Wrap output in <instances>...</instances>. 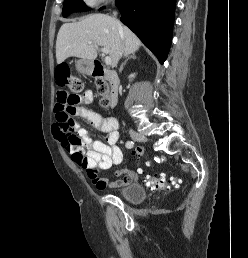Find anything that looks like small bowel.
Returning a JSON list of instances; mask_svg holds the SVG:
<instances>
[{
	"label": "small bowel",
	"mask_w": 248,
	"mask_h": 258,
	"mask_svg": "<svg viewBox=\"0 0 248 258\" xmlns=\"http://www.w3.org/2000/svg\"><path fill=\"white\" fill-rule=\"evenodd\" d=\"M64 93L65 92L60 91L58 98ZM77 104V106L73 107V114L85 119L100 132L104 133L105 141L93 140L80 123L73 122V128L80 137L79 140L73 142L62 133L60 125L56 123L54 132L65 152L75 164L83 166L85 169L94 167L105 171L114 165L121 164L123 161V153L117 145L119 139L117 120L113 117L105 118L89 108L94 104V96L91 90H85L80 95ZM88 148L94 151L87 152L86 149ZM115 175L118 179L114 181H107L98 176H91L90 180L93 181L99 190L122 188L136 180L135 173L126 167L116 171Z\"/></svg>",
	"instance_id": "1"
}]
</instances>
